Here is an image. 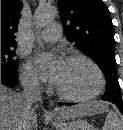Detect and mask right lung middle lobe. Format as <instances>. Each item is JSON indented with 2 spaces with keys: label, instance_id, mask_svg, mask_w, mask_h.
I'll use <instances>...</instances> for the list:
<instances>
[{
  "label": "right lung middle lobe",
  "instance_id": "dd1d6c3e",
  "mask_svg": "<svg viewBox=\"0 0 123 130\" xmlns=\"http://www.w3.org/2000/svg\"><path fill=\"white\" fill-rule=\"evenodd\" d=\"M13 48L15 47L1 46V73L18 77V60L14 59L16 53Z\"/></svg>",
  "mask_w": 123,
  "mask_h": 130
}]
</instances>
